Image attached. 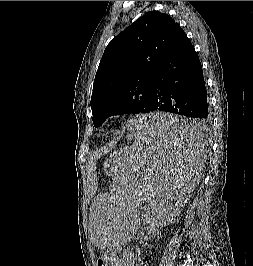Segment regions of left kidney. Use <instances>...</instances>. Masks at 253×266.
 <instances>
[{
	"mask_svg": "<svg viewBox=\"0 0 253 266\" xmlns=\"http://www.w3.org/2000/svg\"><path fill=\"white\" fill-rule=\"evenodd\" d=\"M162 224H166V222L152 223L151 229L148 232V234H145L144 231H140V233L138 234L137 238L140 239V240L148 239L149 235L154 233V232H156L157 229L159 228V225H162Z\"/></svg>",
	"mask_w": 253,
	"mask_h": 266,
	"instance_id": "5707ae66",
	"label": "left kidney"
}]
</instances>
